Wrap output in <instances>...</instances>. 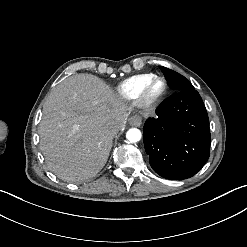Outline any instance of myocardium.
Wrapping results in <instances>:
<instances>
[{
  "label": "myocardium",
  "instance_id": "myocardium-1",
  "mask_svg": "<svg viewBox=\"0 0 247 247\" xmlns=\"http://www.w3.org/2000/svg\"><path fill=\"white\" fill-rule=\"evenodd\" d=\"M156 82L163 83V89L156 95L150 96L149 91ZM167 82L163 77L155 76L148 79L140 88L138 98L136 100L137 107L140 109H148L159 103L167 93Z\"/></svg>",
  "mask_w": 247,
  "mask_h": 247
}]
</instances>
